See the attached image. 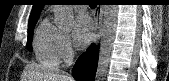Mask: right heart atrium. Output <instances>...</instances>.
Segmentation results:
<instances>
[{"mask_svg": "<svg viewBox=\"0 0 169 81\" xmlns=\"http://www.w3.org/2000/svg\"><path fill=\"white\" fill-rule=\"evenodd\" d=\"M60 60L66 61L72 57L73 47L68 36L61 34L58 42Z\"/></svg>", "mask_w": 169, "mask_h": 81, "instance_id": "1", "label": "right heart atrium"}]
</instances>
